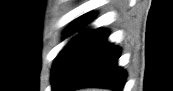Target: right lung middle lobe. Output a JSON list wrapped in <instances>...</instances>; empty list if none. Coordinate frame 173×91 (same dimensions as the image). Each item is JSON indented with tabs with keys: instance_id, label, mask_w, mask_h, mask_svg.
Listing matches in <instances>:
<instances>
[{
	"instance_id": "right-lung-middle-lobe-1",
	"label": "right lung middle lobe",
	"mask_w": 173,
	"mask_h": 91,
	"mask_svg": "<svg viewBox=\"0 0 173 91\" xmlns=\"http://www.w3.org/2000/svg\"><path fill=\"white\" fill-rule=\"evenodd\" d=\"M81 26H83V25H80V24H73V26L70 27V28L68 29L67 32H68V33H72V32H74V31H77ZM67 47H68V45H67V46L60 52V54L57 56V58H56V60H55V62H54V65H53V73L55 72V69H56V67H57V65H58V63H59V61L61 60L62 56L64 55V53H65Z\"/></svg>"
}]
</instances>
